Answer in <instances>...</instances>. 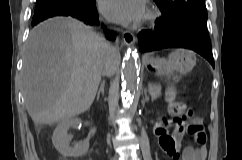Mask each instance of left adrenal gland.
<instances>
[{"instance_id":"obj_1","label":"left adrenal gland","mask_w":242,"mask_h":160,"mask_svg":"<svg viewBox=\"0 0 242 160\" xmlns=\"http://www.w3.org/2000/svg\"><path fill=\"white\" fill-rule=\"evenodd\" d=\"M145 96H146V100H147L148 99L147 93H145Z\"/></svg>"}]
</instances>
